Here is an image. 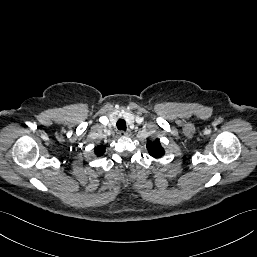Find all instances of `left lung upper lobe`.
Masks as SVG:
<instances>
[{
  "label": "left lung upper lobe",
  "mask_w": 257,
  "mask_h": 257,
  "mask_svg": "<svg viewBox=\"0 0 257 257\" xmlns=\"http://www.w3.org/2000/svg\"><path fill=\"white\" fill-rule=\"evenodd\" d=\"M147 149L151 156L154 158H160L164 155V149L162 148L159 140L149 141L147 143Z\"/></svg>",
  "instance_id": "1"
}]
</instances>
